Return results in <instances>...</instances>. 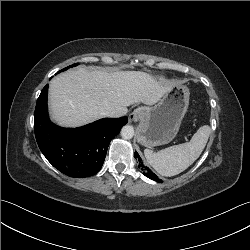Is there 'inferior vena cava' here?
<instances>
[{"mask_svg": "<svg viewBox=\"0 0 250 250\" xmlns=\"http://www.w3.org/2000/svg\"><path fill=\"white\" fill-rule=\"evenodd\" d=\"M107 117H120L122 116L118 111L112 110L105 113Z\"/></svg>", "mask_w": 250, "mask_h": 250, "instance_id": "1", "label": "inferior vena cava"}]
</instances>
